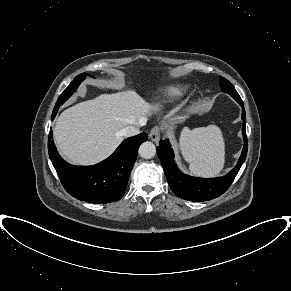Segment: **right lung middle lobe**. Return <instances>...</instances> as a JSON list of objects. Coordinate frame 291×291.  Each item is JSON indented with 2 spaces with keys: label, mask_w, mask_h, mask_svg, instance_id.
Instances as JSON below:
<instances>
[{
  "label": "right lung middle lobe",
  "mask_w": 291,
  "mask_h": 291,
  "mask_svg": "<svg viewBox=\"0 0 291 291\" xmlns=\"http://www.w3.org/2000/svg\"><path fill=\"white\" fill-rule=\"evenodd\" d=\"M86 75V73L78 75L63 91L55 104L52 116H55L57 114L59 107L74 93V91L78 88L79 84L81 83V81L84 80Z\"/></svg>",
  "instance_id": "right-lung-middle-lobe-1"
}]
</instances>
